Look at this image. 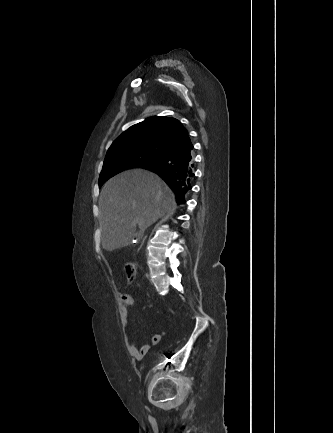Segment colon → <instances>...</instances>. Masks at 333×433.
Masks as SVG:
<instances>
[{
  "mask_svg": "<svg viewBox=\"0 0 333 433\" xmlns=\"http://www.w3.org/2000/svg\"><path fill=\"white\" fill-rule=\"evenodd\" d=\"M125 272L128 281H133L136 277L137 268L136 265L132 262H128L125 264Z\"/></svg>",
  "mask_w": 333,
  "mask_h": 433,
  "instance_id": "colon-1",
  "label": "colon"
}]
</instances>
